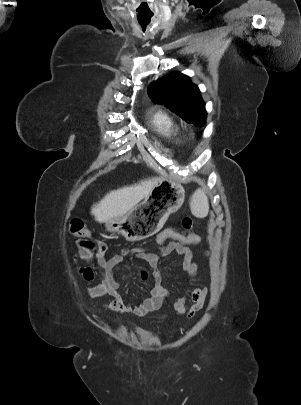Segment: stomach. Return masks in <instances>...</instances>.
<instances>
[{"label":"stomach","mask_w":301,"mask_h":405,"mask_svg":"<svg viewBox=\"0 0 301 405\" xmlns=\"http://www.w3.org/2000/svg\"><path fill=\"white\" fill-rule=\"evenodd\" d=\"M184 199L185 190L180 183L162 179L141 204L106 225L128 241H140L158 232L169 215L181 208Z\"/></svg>","instance_id":"0dacf381"}]
</instances>
